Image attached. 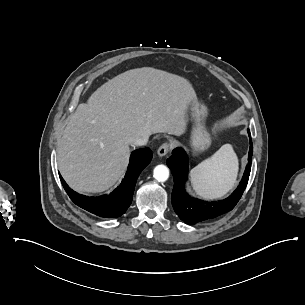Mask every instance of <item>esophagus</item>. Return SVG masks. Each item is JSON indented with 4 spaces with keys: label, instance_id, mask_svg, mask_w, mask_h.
I'll return each mask as SVG.
<instances>
[{
    "label": "esophagus",
    "instance_id": "esophagus-1",
    "mask_svg": "<svg viewBox=\"0 0 305 305\" xmlns=\"http://www.w3.org/2000/svg\"><path fill=\"white\" fill-rule=\"evenodd\" d=\"M170 149V146L168 143H164L162 144L159 148H158V151H157V154L160 156V157H163L165 156L168 151Z\"/></svg>",
    "mask_w": 305,
    "mask_h": 305
}]
</instances>
